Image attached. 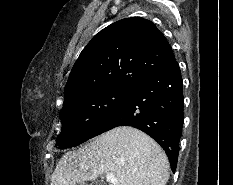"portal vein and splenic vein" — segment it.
I'll return each mask as SVG.
<instances>
[{
	"instance_id": "portal-vein-and-splenic-vein-1",
	"label": "portal vein and splenic vein",
	"mask_w": 233,
	"mask_h": 185,
	"mask_svg": "<svg viewBox=\"0 0 233 185\" xmlns=\"http://www.w3.org/2000/svg\"><path fill=\"white\" fill-rule=\"evenodd\" d=\"M80 167L88 169V167L85 166V165H81ZM106 179H107V181L112 182V183L117 182V179L114 177V175L112 173H107L106 174Z\"/></svg>"
}]
</instances>
